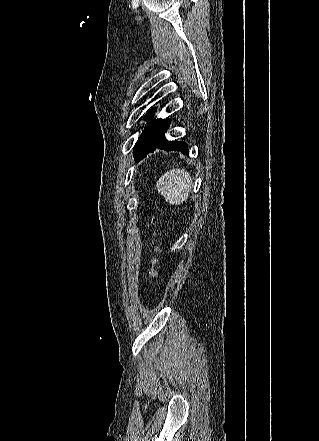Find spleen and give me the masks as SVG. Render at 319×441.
<instances>
[{
    "label": "spleen",
    "instance_id": "spleen-1",
    "mask_svg": "<svg viewBox=\"0 0 319 441\" xmlns=\"http://www.w3.org/2000/svg\"><path fill=\"white\" fill-rule=\"evenodd\" d=\"M158 192L171 205L186 202L192 189V178L184 169L164 173L156 183Z\"/></svg>",
    "mask_w": 319,
    "mask_h": 441
}]
</instances>
